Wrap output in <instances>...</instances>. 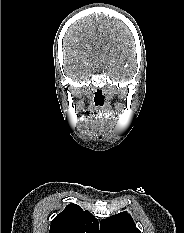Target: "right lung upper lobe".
<instances>
[{"instance_id": "1", "label": "right lung upper lobe", "mask_w": 184, "mask_h": 233, "mask_svg": "<svg viewBox=\"0 0 184 233\" xmlns=\"http://www.w3.org/2000/svg\"><path fill=\"white\" fill-rule=\"evenodd\" d=\"M49 233H100L98 220L76 204H69L51 222Z\"/></svg>"}]
</instances>
